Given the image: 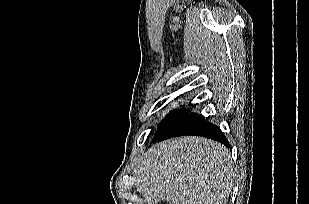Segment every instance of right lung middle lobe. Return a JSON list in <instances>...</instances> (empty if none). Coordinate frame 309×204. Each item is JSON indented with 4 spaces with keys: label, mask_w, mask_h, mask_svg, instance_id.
<instances>
[{
    "label": "right lung middle lobe",
    "mask_w": 309,
    "mask_h": 204,
    "mask_svg": "<svg viewBox=\"0 0 309 204\" xmlns=\"http://www.w3.org/2000/svg\"><path fill=\"white\" fill-rule=\"evenodd\" d=\"M189 111L186 109H177L170 111L166 116L165 120L161 123L158 131L153 140L158 139L161 135H163L171 126L177 123L180 119H182Z\"/></svg>",
    "instance_id": "right-lung-middle-lobe-1"
}]
</instances>
